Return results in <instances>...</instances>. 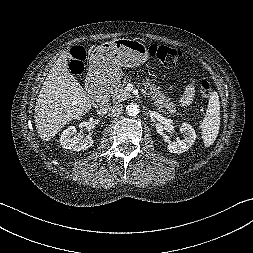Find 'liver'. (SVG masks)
Here are the masks:
<instances>
[{
	"label": "liver",
	"instance_id": "6515ba94",
	"mask_svg": "<svg viewBox=\"0 0 253 253\" xmlns=\"http://www.w3.org/2000/svg\"><path fill=\"white\" fill-rule=\"evenodd\" d=\"M68 53L63 52L50 69L35 106V126L40 138L50 141L69 121L80 119L93 104L87 93L70 73Z\"/></svg>",
	"mask_w": 253,
	"mask_h": 253
}]
</instances>
